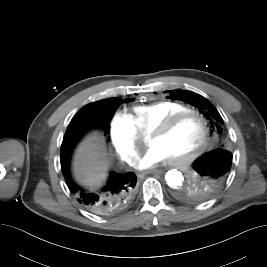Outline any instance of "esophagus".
Here are the masks:
<instances>
[{
  "label": "esophagus",
  "mask_w": 267,
  "mask_h": 267,
  "mask_svg": "<svg viewBox=\"0 0 267 267\" xmlns=\"http://www.w3.org/2000/svg\"><path fill=\"white\" fill-rule=\"evenodd\" d=\"M155 171H150V172H147V173H154ZM141 176H143V175H139V177H141Z\"/></svg>",
  "instance_id": "esophagus-1"
}]
</instances>
